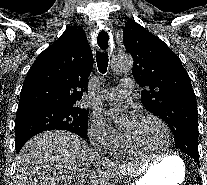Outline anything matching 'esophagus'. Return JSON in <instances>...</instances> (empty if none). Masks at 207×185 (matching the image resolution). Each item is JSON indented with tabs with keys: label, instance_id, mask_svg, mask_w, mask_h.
Instances as JSON below:
<instances>
[{
	"label": "esophagus",
	"instance_id": "34e87169",
	"mask_svg": "<svg viewBox=\"0 0 207 185\" xmlns=\"http://www.w3.org/2000/svg\"><path fill=\"white\" fill-rule=\"evenodd\" d=\"M107 30L106 28H103V31ZM93 40L95 43V46L98 48H109V33H98V30L94 31Z\"/></svg>",
	"mask_w": 207,
	"mask_h": 185
}]
</instances>
